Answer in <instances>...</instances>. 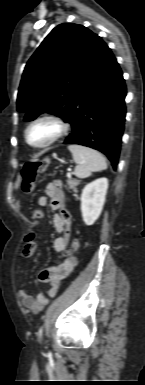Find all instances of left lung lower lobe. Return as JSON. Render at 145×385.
I'll list each match as a JSON object with an SVG mask.
<instances>
[{
  "mask_svg": "<svg viewBox=\"0 0 145 385\" xmlns=\"http://www.w3.org/2000/svg\"><path fill=\"white\" fill-rule=\"evenodd\" d=\"M126 85L111 49L98 36L94 55L81 79L65 144L104 153L115 169L125 121Z\"/></svg>",
  "mask_w": 145,
  "mask_h": 385,
  "instance_id": "0a47b994",
  "label": "left lung lower lobe"
}]
</instances>
